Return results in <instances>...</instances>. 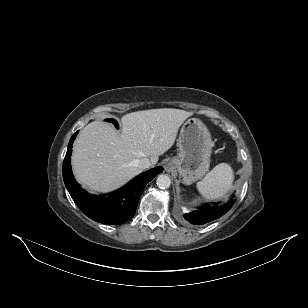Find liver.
Returning <instances> with one entry per match:
<instances>
[{
	"label": "liver",
	"mask_w": 308,
	"mask_h": 308,
	"mask_svg": "<svg viewBox=\"0 0 308 308\" xmlns=\"http://www.w3.org/2000/svg\"><path fill=\"white\" fill-rule=\"evenodd\" d=\"M191 115L170 108L132 112L121 118V133L106 122L89 123L73 148L72 167L77 181L103 193L123 186L141 173L136 160L148 158L152 165L158 162Z\"/></svg>",
	"instance_id": "6515ba94"
}]
</instances>
